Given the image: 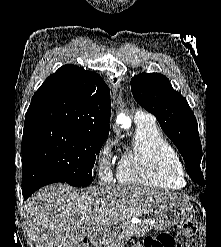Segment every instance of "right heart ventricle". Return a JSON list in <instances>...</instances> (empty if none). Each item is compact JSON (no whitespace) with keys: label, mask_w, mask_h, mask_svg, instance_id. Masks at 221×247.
<instances>
[{"label":"right heart ventricle","mask_w":221,"mask_h":247,"mask_svg":"<svg viewBox=\"0 0 221 247\" xmlns=\"http://www.w3.org/2000/svg\"><path fill=\"white\" fill-rule=\"evenodd\" d=\"M135 123L132 144L119 161L118 182L170 190L182 188L183 167L175 148L151 118Z\"/></svg>","instance_id":"obj_1"}]
</instances>
